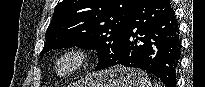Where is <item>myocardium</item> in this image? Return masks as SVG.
Here are the masks:
<instances>
[{
	"instance_id": "myocardium-1",
	"label": "myocardium",
	"mask_w": 205,
	"mask_h": 87,
	"mask_svg": "<svg viewBox=\"0 0 205 87\" xmlns=\"http://www.w3.org/2000/svg\"><path fill=\"white\" fill-rule=\"evenodd\" d=\"M69 64L61 69L62 62ZM91 63L90 52L80 46H71L59 51L52 61V72L58 78H67L88 68Z\"/></svg>"
}]
</instances>
